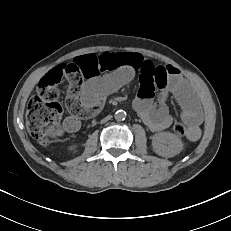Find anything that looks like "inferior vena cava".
<instances>
[{
	"mask_svg": "<svg viewBox=\"0 0 231 231\" xmlns=\"http://www.w3.org/2000/svg\"><path fill=\"white\" fill-rule=\"evenodd\" d=\"M111 118V116H107V117H105L104 119H103V121H107V120H109Z\"/></svg>",
	"mask_w": 231,
	"mask_h": 231,
	"instance_id": "inferior-vena-cava-1",
	"label": "inferior vena cava"
}]
</instances>
